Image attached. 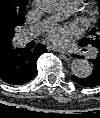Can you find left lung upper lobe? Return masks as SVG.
<instances>
[{"label":"left lung upper lobe","mask_w":100,"mask_h":118,"mask_svg":"<svg viewBox=\"0 0 100 118\" xmlns=\"http://www.w3.org/2000/svg\"><path fill=\"white\" fill-rule=\"evenodd\" d=\"M97 2L100 6V0H97ZM79 45L82 47L92 45L97 49L100 48V19L98 25L89 32L88 36L79 41Z\"/></svg>","instance_id":"obj_1"}]
</instances>
